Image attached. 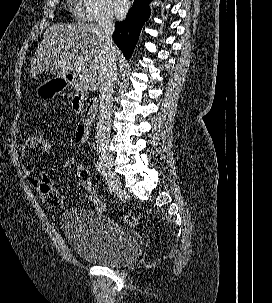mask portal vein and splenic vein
Returning a JSON list of instances; mask_svg holds the SVG:
<instances>
[{
    "mask_svg": "<svg viewBox=\"0 0 272 303\" xmlns=\"http://www.w3.org/2000/svg\"><path fill=\"white\" fill-rule=\"evenodd\" d=\"M79 81L82 84H87L89 82V78L87 75L79 74Z\"/></svg>",
    "mask_w": 272,
    "mask_h": 303,
    "instance_id": "portal-vein-and-splenic-vein-1",
    "label": "portal vein and splenic vein"
}]
</instances>
